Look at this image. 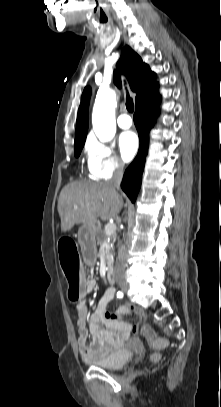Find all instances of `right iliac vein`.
<instances>
[{
    "mask_svg": "<svg viewBox=\"0 0 221 407\" xmlns=\"http://www.w3.org/2000/svg\"><path fill=\"white\" fill-rule=\"evenodd\" d=\"M119 286H120V288H121V290H122L123 292H126V291L128 290V286H127V284H126L125 282H121V283L119 284Z\"/></svg>",
    "mask_w": 221,
    "mask_h": 407,
    "instance_id": "obj_1",
    "label": "right iliac vein"
}]
</instances>
